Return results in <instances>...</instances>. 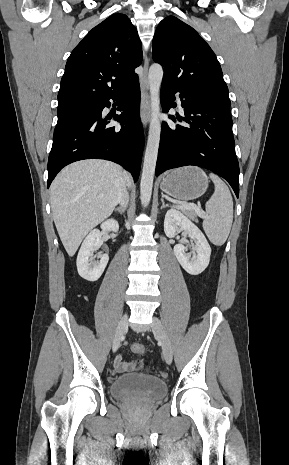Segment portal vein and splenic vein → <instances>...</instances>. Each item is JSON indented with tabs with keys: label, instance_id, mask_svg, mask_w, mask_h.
Returning a JSON list of instances; mask_svg holds the SVG:
<instances>
[{
	"label": "portal vein and splenic vein",
	"instance_id": "1",
	"mask_svg": "<svg viewBox=\"0 0 289 465\" xmlns=\"http://www.w3.org/2000/svg\"><path fill=\"white\" fill-rule=\"evenodd\" d=\"M179 209H192L197 213H201V208L193 203H184L178 206Z\"/></svg>",
	"mask_w": 289,
	"mask_h": 465
}]
</instances>
